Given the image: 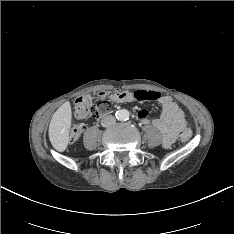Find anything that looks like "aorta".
<instances>
[{
  "label": "aorta",
  "instance_id": "aorta-1",
  "mask_svg": "<svg viewBox=\"0 0 234 234\" xmlns=\"http://www.w3.org/2000/svg\"><path fill=\"white\" fill-rule=\"evenodd\" d=\"M116 116L121 121H126L129 119L130 113L127 109H121L116 113Z\"/></svg>",
  "mask_w": 234,
  "mask_h": 234
}]
</instances>
